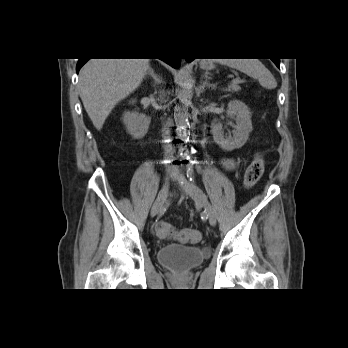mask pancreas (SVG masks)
Instances as JSON below:
<instances>
[{"mask_svg": "<svg viewBox=\"0 0 348 348\" xmlns=\"http://www.w3.org/2000/svg\"><path fill=\"white\" fill-rule=\"evenodd\" d=\"M238 83H231L230 85H228V87L226 89H224V91L238 92L241 89L240 86L238 85Z\"/></svg>", "mask_w": 348, "mask_h": 348, "instance_id": "cf45deb5", "label": "pancreas"}]
</instances>
